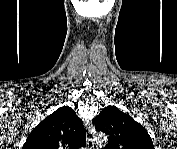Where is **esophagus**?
I'll return each mask as SVG.
<instances>
[{"label": "esophagus", "mask_w": 177, "mask_h": 149, "mask_svg": "<svg viewBox=\"0 0 177 149\" xmlns=\"http://www.w3.org/2000/svg\"><path fill=\"white\" fill-rule=\"evenodd\" d=\"M87 128H88L89 134H92L94 131V128L91 125H88ZM86 144H87L88 149L94 148V142H93V139L90 135H88V137L86 139Z\"/></svg>", "instance_id": "obj_1"}]
</instances>
